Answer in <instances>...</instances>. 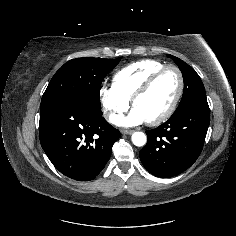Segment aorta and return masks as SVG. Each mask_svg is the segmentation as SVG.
Listing matches in <instances>:
<instances>
[{"mask_svg": "<svg viewBox=\"0 0 236 236\" xmlns=\"http://www.w3.org/2000/svg\"><path fill=\"white\" fill-rule=\"evenodd\" d=\"M131 138L133 144L138 147L144 146L147 141V137L143 132H134Z\"/></svg>", "mask_w": 236, "mask_h": 236, "instance_id": "aorta-1", "label": "aorta"}]
</instances>
